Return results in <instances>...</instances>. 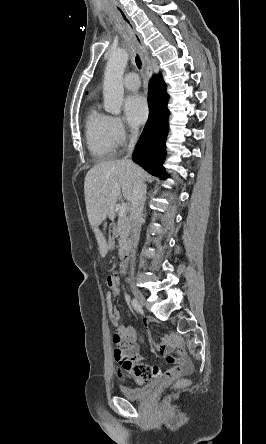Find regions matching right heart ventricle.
<instances>
[{
    "label": "right heart ventricle",
    "mask_w": 266,
    "mask_h": 444,
    "mask_svg": "<svg viewBox=\"0 0 266 444\" xmlns=\"http://www.w3.org/2000/svg\"><path fill=\"white\" fill-rule=\"evenodd\" d=\"M85 137L89 151L98 159H107L115 154L116 142L113 138L110 117L99 112L92 105L85 119Z\"/></svg>",
    "instance_id": "right-heart-ventricle-1"
}]
</instances>
